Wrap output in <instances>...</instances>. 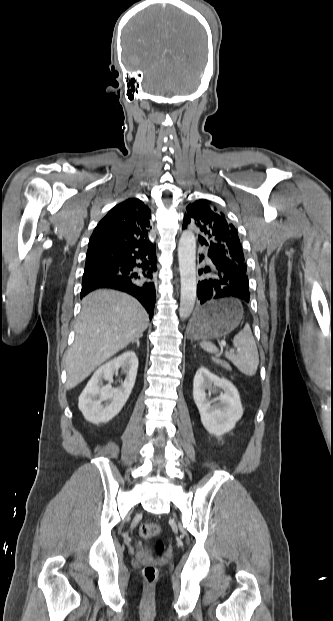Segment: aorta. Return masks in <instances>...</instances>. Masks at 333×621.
Returning <instances> with one entry per match:
<instances>
[{
    "label": "aorta",
    "mask_w": 333,
    "mask_h": 621,
    "mask_svg": "<svg viewBox=\"0 0 333 621\" xmlns=\"http://www.w3.org/2000/svg\"><path fill=\"white\" fill-rule=\"evenodd\" d=\"M181 296L179 315L187 319L196 301V239L191 230L183 231L178 246Z\"/></svg>",
    "instance_id": "762f6f07"
}]
</instances>
